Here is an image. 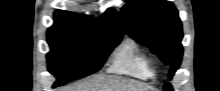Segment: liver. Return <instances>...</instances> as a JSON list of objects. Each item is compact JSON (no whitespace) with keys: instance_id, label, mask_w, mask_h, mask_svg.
Here are the masks:
<instances>
[{"instance_id":"obj_1","label":"liver","mask_w":220,"mask_h":91,"mask_svg":"<svg viewBox=\"0 0 220 91\" xmlns=\"http://www.w3.org/2000/svg\"><path fill=\"white\" fill-rule=\"evenodd\" d=\"M63 91H151L146 85L113 76H94Z\"/></svg>"}]
</instances>
